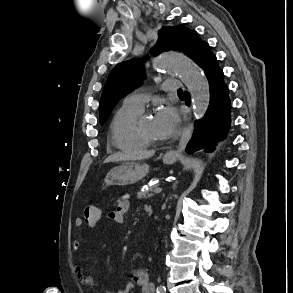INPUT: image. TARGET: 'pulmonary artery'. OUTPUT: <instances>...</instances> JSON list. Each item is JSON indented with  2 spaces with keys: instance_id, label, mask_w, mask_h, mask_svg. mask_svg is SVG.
Segmentation results:
<instances>
[{
  "instance_id": "obj_1",
  "label": "pulmonary artery",
  "mask_w": 293,
  "mask_h": 293,
  "mask_svg": "<svg viewBox=\"0 0 293 293\" xmlns=\"http://www.w3.org/2000/svg\"><path fill=\"white\" fill-rule=\"evenodd\" d=\"M181 85L182 83L179 80L169 79L163 82L162 89L166 92L177 91L180 89ZM147 101L148 94L144 92H134L125 98L124 104L143 109Z\"/></svg>"
}]
</instances>
